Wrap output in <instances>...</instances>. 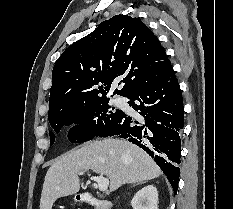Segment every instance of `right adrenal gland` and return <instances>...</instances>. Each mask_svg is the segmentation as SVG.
Returning a JSON list of instances; mask_svg holds the SVG:
<instances>
[{
    "label": "right adrenal gland",
    "mask_w": 233,
    "mask_h": 209,
    "mask_svg": "<svg viewBox=\"0 0 233 209\" xmlns=\"http://www.w3.org/2000/svg\"><path fill=\"white\" fill-rule=\"evenodd\" d=\"M146 181H143V182H139V183H137V184H134L133 185V187H135V186H137V185H139V184H143V183H145Z\"/></svg>",
    "instance_id": "2a0ac1e0"
}]
</instances>
